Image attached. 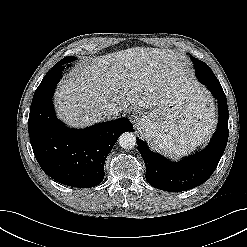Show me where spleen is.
Here are the masks:
<instances>
[{"label":"spleen","mask_w":247,"mask_h":247,"mask_svg":"<svg viewBox=\"0 0 247 247\" xmlns=\"http://www.w3.org/2000/svg\"><path fill=\"white\" fill-rule=\"evenodd\" d=\"M212 128V126H210L209 128H207V130H210Z\"/></svg>","instance_id":"spleen-1"}]
</instances>
